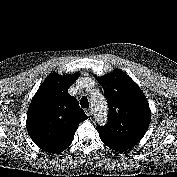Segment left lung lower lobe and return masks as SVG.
<instances>
[{
    "label": "left lung lower lobe",
    "mask_w": 177,
    "mask_h": 177,
    "mask_svg": "<svg viewBox=\"0 0 177 177\" xmlns=\"http://www.w3.org/2000/svg\"><path fill=\"white\" fill-rule=\"evenodd\" d=\"M106 146L110 147L115 151H126L130 149L129 147H126L123 144H118V143H106Z\"/></svg>",
    "instance_id": "left-lung-lower-lobe-1"
}]
</instances>
